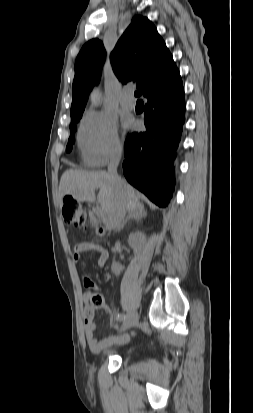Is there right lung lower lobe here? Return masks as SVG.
<instances>
[{
  "mask_svg": "<svg viewBox=\"0 0 253 413\" xmlns=\"http://www.w3.org/2000/svg\"><path fill=\"white\" fill-rule=\"evenodd\" d=\"M144 113L145 132L128 135L123 162L129 183L160 207L168 205L174 189V165L185 117L182 84L152 92Z\"/></svg>",
  "mask_w": 253,
  "mask_h": 413,
  "instance_id": "obj_1",
  "label": "right lung lower lobe"
}]
</instances>
